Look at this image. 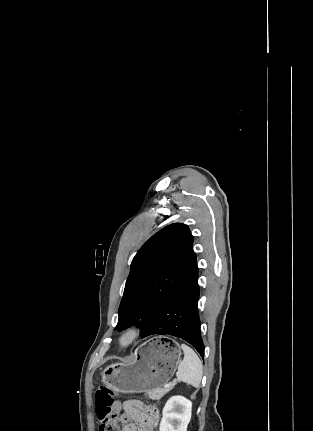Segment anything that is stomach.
Segmentation results:
<instances>
[{
	"instance_id": "0dacf381",
	"label": "stomach",
	"mask_w": 313,
	"mask_h": 431,
	"mask_svg": "<svg viewBox=\"0 0 313 431\" xmlns=\"http://www.w3.org/2000/svg\"><path fill=\"white\" fill-rule=\"evenodd\" d=\"M181 357L177 342L155 337L140 345L127 362L107 366L102 382L121 393H142L161 389L174 375Z\"/></svg>"
}]
</instances>
